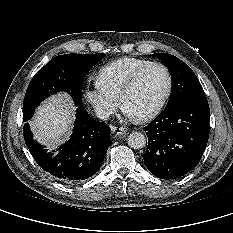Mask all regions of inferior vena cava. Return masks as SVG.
Listing matches in <instances>:
<instances>
[{
  "instance_id": "1",
  "label": "inferior vena cava",
  "mask_w": 233,
  "mask_h": 233,
  "mask_svg": "<svg viewBox=\"0 0 233 233\" xmlns=\"http://www.w3.org/2000/svg\"><path fill=\"white\" fill-rule=\"evenodd\" d=\"M96 115L101 120H107L111 114V111L106 107L96 108Z\"/></svg>"
}]
</instances>
